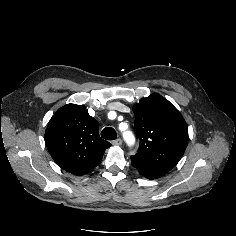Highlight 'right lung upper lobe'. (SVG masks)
I'll list each match as a JSON object with an SVG mask.
<instances>
[{"label": "right lung upper lobe", "mask_w": 236, "mask_h": 236, "mask_svg": "<svg viewBox=\"0 0 236 236\" xmlns=\"http://www.w3.org/2000/svg\"><path fill=\"white\" fill-rule=\"evenodd\" d=\"M47 149L56 164L74 175L97 166L111 144L99 136L98 122L83 105L67 104L52 116L45 131Z\"/></svg>", "instance_id": "obj_1"}]
</instances>
